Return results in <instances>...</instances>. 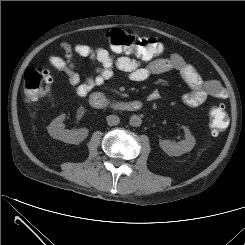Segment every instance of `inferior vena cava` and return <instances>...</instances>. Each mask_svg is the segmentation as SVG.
Returning a JSON list of instances; mask_svg holds the SVG:
<instances>
[{"label":"inferior vena cava","mask_w":245,"mask_h":245,"mask_svg":"<svg viewBox=\"0 0 245 245\" xmlns=\"http://www.w3.org/2000/svg\"><path fill=\"white\" fill-rule=\"evenodd\" d=\"M106 121L109 126H115L119 124L120 119L117 115H109L107 116Z\"/></svg>","instance_id":"1"}]
</instances>
